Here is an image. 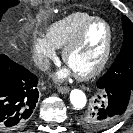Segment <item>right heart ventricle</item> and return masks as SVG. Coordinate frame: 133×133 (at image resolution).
Returning <instances> with one entry per match:
<instances>
[{"label": "right heart ventricle", "mask_w": 133, "mask_h": 133, "mask_svg": "<svg viewBox=\"0 0 133 133\" xmlns=\"http://www.w3.org/2000/svg\"><path fill=\"white\" fill-rule=\"evenodd\" d=\"M92 16L86 12H73L52 23L46 31V39L56 49H63Z\"/></svg>", "instance_id": "e07e8e85"}]
</instances>
